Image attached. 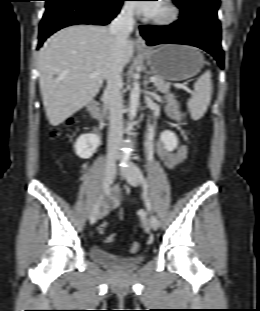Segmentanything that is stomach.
<instances>
[{
	"label": "stomach",
	"instance_id": "0dacf381",
	"mask_svg": "<svg viewBox=\"0 0 260 311\" xmlns=\"http://www.w3.org/2000/svg\"><path fill=\"white\" fill-rule=\"evenodd\" d=\"M150 70L165 80L183 81L199 73L204 65L200 51L187 45H163L144 52Z\"/></svg>",
	"mask_w": 260,
	"mask_h": 311
}]
</instances>
